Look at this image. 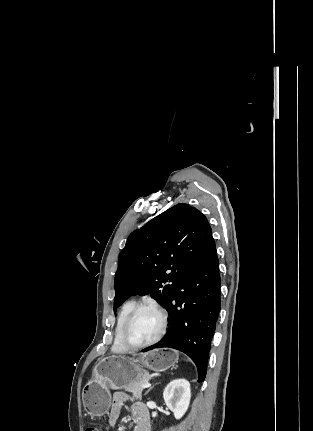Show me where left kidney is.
Wrapping results in <instances>:
<instances>
[{"mask_svg": "<svg viewBox=\"0 0 313 431\" xmlns=\"http://www.w3.org/2000/svg\"><path fill=\"white\" fill-rule=\"evenodd\" d=\"M167 407L180 419L186 413L191 399L190 384L185 379H176L170 382L163 392Z\"/></svg>", "mask_w": 313, "mask_h": 431, "instance_id": "5707ae66", "label": "left kidney"}]
</instances>
